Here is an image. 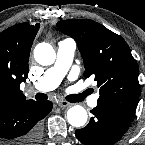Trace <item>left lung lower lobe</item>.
Returning a JSON list of instances; mask_svg holds the SVG:
<instances>
[{
    "label": "left lung lower lobe",
    "instance_id": "left-lung-lower-lobe-1",
    "mask_svg": "<svg viewBox=\"0 0 145 145\" xmlns=\"http://www.w3.org/2000/svg\"><path fill=\"white\" fill-rule=\"evenodd\" d=\"M91 113L89 124L75 132L77 139L84 145H113L127 131L131 119L100 106H96Z\"/></svg>",
    "mask_w": 145,
    "mask_h": 145
}]
</instances>
